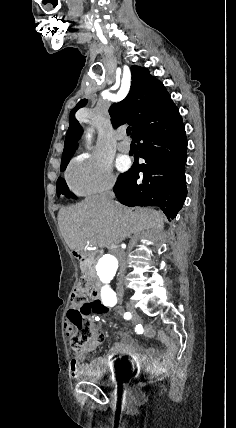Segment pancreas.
I'll use <instances>...</instances> for the list:
<instances>
[{
    "label": "pancreas",
    "instance_id": "pancreas-1",
    "mask_svg": "<svg viewBox=\"0 0 236 428\" xmlns=\"http://www.w3.org/2000/svg\"><path fill=\"white\" fill-rule=\"evenodd\" d=\"M90 262H92V264H94V260H90ZM80 268H81V272H83V274H84L85 270H90L92 278H97V276L95 274V268H94V266H90L89 262H81Z\"/></svg>",
    "mask_w": 236,
    "mask_h": 428
}]
</instances>
